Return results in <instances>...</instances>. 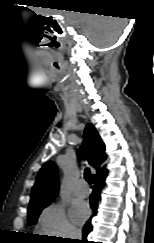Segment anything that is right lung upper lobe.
<instances>
[{"label":"right lung upper lobe","mask_w":154,"mask_h":243,"mask_svg":"<svg viewBox=\"0 0 154 243\" xmlns=\"http://www.w3.org/2000/svg\"><path fill=\"white\" fill-rule=\"evenodd\" d=\"M78 153L79 155L83 153L86 156L89 164L97 170L96 175L106 171L105 168H100L106 160L105 145L91 123L87 124L85 128L84 143ZM96 175H93V177ZM58 189L57 166L54 162L48 161L40 169L32 187L29 208L51 202L57 196Z\"/></svg>","instance_id":"obj_1"}]
</instances>
